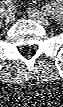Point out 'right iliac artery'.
Returning <instances> with one entry per match:
<instances>
[{
	"label": "right iliac artery",
	"instance_id": "right-iliac-artery-1",
	"mask_svg": "<svg viewBox=\"0 0 63 107\" xmlns=\"http://www.w3.org/2000/svg\"><path fill=\"white\" fill-rule=\"evenodd\" d=\"M4 3L8 7L9 11H11L13 8L11 0H6Z\"/></svg>",
	"mask_w": 63,
	"mask_h": 107
}]
</instances>
